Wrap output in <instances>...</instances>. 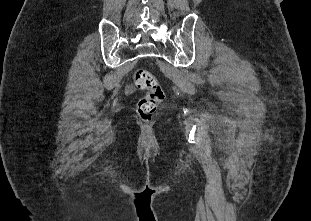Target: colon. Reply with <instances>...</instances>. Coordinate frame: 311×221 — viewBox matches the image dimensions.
<instances>
[{"instance_id": "obj_1", "label": "colon", "mask_w": 311, "mask_h": 221, "mask_svg": "<svg viewBox=\"0 0 311 221\" xmlns=\"http://www.w3.org/2000/svg\"><path fill=\"white\" fill-rule=\"evenodd\" d=\"M134 82L137 88L147 90V95L138 102L137 115L140 121L148 122L163 101L164 90L157 79L142 68L135 70Z\"/></svg>"}]
</instances>
